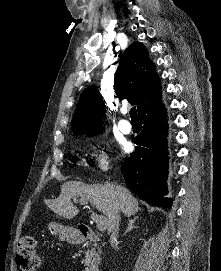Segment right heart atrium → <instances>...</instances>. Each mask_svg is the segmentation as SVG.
I'll return each mask as SVG.
<instances>
[{
	"instance_id": "obj_1",
	"label": "right heart atrium",
	"mask_w": 221,
	"mask_h": 271,
	"mask_svg": "<svg viewBox=\"0 0 221 271\" xmlns=\"http://www.w3.org/2000/svg\"><path fill=\"white\" fill-rule=\"evenodd\" d=\"M98 165H99L100 167H102L104 164H103L102 162H100Z\"/></svg>"
}]
</instances>
